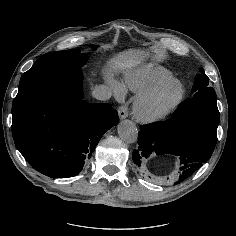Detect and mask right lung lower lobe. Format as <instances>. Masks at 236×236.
I'll list each match as a JSON object with an SVG mask.
<instances>
[{
    "label": "right lung lower lobe",
    "mask_w": 236,
    "mask_h": 236,
    "mask_svg": "<svg viewBox=\"0 0 236 236\" xmlns=\"http://www.w3.org/2000/svg\"><path fill=\"white\" fill-rule=\"evenodd\" d=\"M80 69L36 80L12 104V134L26 161L51 178L82 170L118 114L110 104L86 103Z\"/></svg>",
    "instance_id": "1"
}]
</instances>
